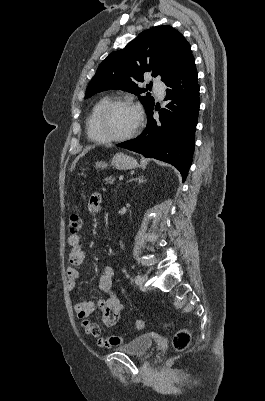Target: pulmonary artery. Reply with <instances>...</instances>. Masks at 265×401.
Segmentation results:
<instances>
[{
	"mask_svg": "<svg viewBox=\"0 0 265 401\" xmlns=\"http://www.w3.org/2000/svg\"><path fill=\"white\" fill-rule=\"evenodd\" d=\"M152 87L154 90H161L163 87V84L161 81H154L152 84ZM158 97L162 98L163 97V92L162 91H158Z\"/></svg>",
	"mask_w": 265,
	"mask_h": 401,
	"instance_id": "1",
	"label": "pulmonary artery"
}]
</instances>
